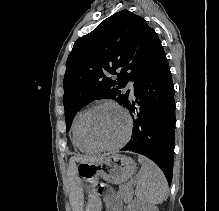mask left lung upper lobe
Here are the masks:
<instances>
[{"label":"left lung upper lobe","instance_id":"obj_1","mask_svg":"<svg viewBox=\"0 0 219 211\" xmlns=\"http://www.w3.org/2000/svg\"><path fill=\"white\" fill-rule=\"evenodd\" d=\"M164 49L154 29L128 10L102 21L92 32L79 38L67 58L64 76L66 131L84 105L96 99H113L124 105L128 81H136ZM117 75V80L111 75Z\"/></svg>","mask_w":219,"mask_h":211}]
</instances>
